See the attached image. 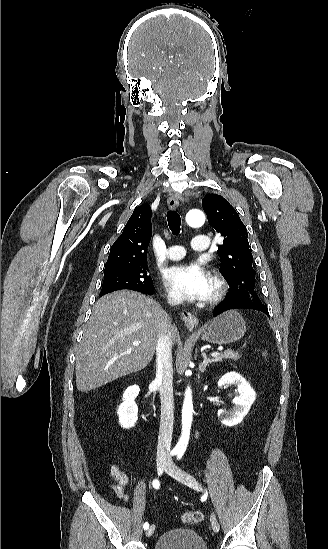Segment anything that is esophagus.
<instances>
[{"instance_id":"esophagus-1","label":"esophagus","mask_w":328,"mask_h":549,"mask_svg":"<svg viewBox=\"0 0 328 549\" xmlns=\"http://www.w3.org/2000/svg\"><path fill=\"white\" fill-rule=\"evenodd\" d=\"M167 204L170 210L176 209L179 205L177 195L171 194L167 199ZM181 318L189 330H193L199 323L198 318L190 312L184 311L181 313Z\"/></svg>"}]
</instances>
